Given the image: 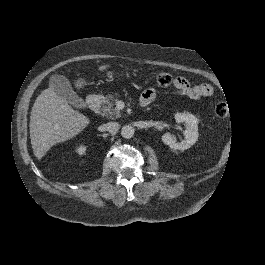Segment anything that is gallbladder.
Instances as JSON below:
<instances>
[{"label":"gallbladder","instance_id":"gallbladder-1","mask_svg":"<svg viewBox=\"0 0 265 265\" xmlns=\"http://www.w3.org/2000/svg\"><path fill=\"white\" fill-rule=\"evenodd\" d=\"M49 86L55 88L58 96L64 99L68 104L79 110H86L87 103L73 89L66 76L53 74L48 80Z\"/></svg>","mask_w":265,"mask_h":265}]
</instances>
